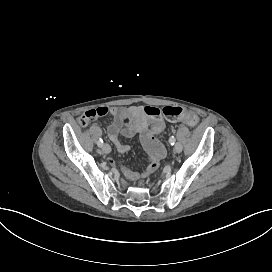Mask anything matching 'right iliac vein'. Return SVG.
Listing matches in <instances>:
<instances>
[{"label":"right iliac vein","instance_id":"right-iliac-vein-1","mask_svg":"<svg viewBox=\"0 0 272 272\" xmlns=\"http://www.w3.org/2000/svg\"><path fill=\"white\" fill-rule=\"evenodd\" d=\"M102 150H103L104 153L108 154V153L111 152V147H110L109 144L105 143V144L102 145Z\"/></svg>","mask_w":272,"mask_h":272}]
</instances>
